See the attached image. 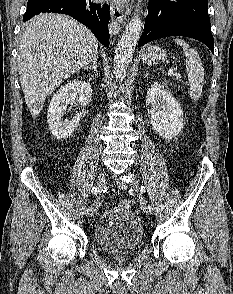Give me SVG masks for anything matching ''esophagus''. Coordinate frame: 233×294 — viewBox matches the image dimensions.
Instances as JSON below:
<instances>
[{
  "instance_id": "obj_1",
  "label": "esophagus",
  "mask_w": 233,
  "mask_h": 294,
  "mask_svg": "<svg viewBox=\"0 0 233 294\" xmlns=\"http://www.w3.org/2000/svg\"><path fill=\"white\" fill-rule=\"evenodd\" d=\"M110 12L112 17L110 32L113 34H118L121 25L125 24L127 13L124 11V9L113 4L110 7Z\"/></svg>"
}]
</instances>
